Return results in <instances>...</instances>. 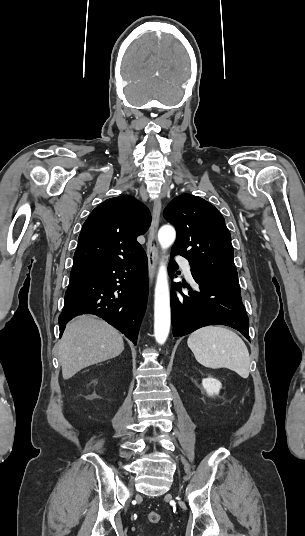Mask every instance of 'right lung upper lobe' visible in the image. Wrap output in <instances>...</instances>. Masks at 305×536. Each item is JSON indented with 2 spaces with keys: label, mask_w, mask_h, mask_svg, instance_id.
Returning a JSON list of instances; mask_svg holds the SVG:
<instances>
[{
  "label": "right lung upper lobe",
  "mask_w": 305,
  "mask_h": 536,
  "mask_svg": "<svg viewBox=\"0 0 305 536\" xmlns=\"http://www.w3.org/2000/svg\"><path fill=\"white\" fill-rule=\"evenodd\" d=\"M147 207L130 195L110 198L83 224L71 274L95 269L144 253L136 238L149 228Z\"/></svg>",
  "instance_id": "cb5924a9"
}]
</instances>
